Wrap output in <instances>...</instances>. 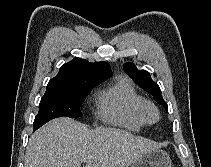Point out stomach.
Here are the masks:
<instances>
[{
  "mask_svg": "<svg viewBox=\"0 0 211 167\" xmlns=\"http://www.w3.org/2000/svg\"><path fill=\"white\" fill-rule=\"evenodd\" d=\"M131 167H172L167 152L156 148L141 156Z\"/></svg>",
  "mask_w": 211,
  "mask_h": 167,
  "instance_id": "1",
  "label": "stomach"
}]
</instances>
